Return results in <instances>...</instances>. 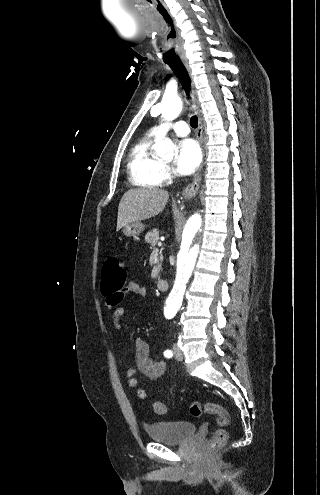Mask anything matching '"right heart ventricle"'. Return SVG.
<instances>
[{"instance_id":"obj_1","label":"right heart ventricle","mask_w":320,"mask_h":495,"mask_svg":"<svg viewBox=\"0 0 320 495\" xmlns=\"http://www.w3.org/2000/svg\"><path fill=\"white\" fill-rule=\"evenodd\" d=\"M156 139V136L148 133L130 150L127 168L130 181L136 186L153 188L161 183L159 174L163 165L152 151Z\"/></svg>"}]
</instances>
